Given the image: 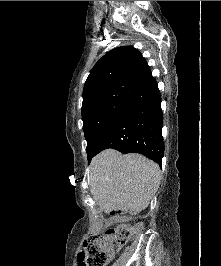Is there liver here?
Listing matches in <instances>:
<instances>
[{"label":"liver","mask_w":221,"mask_h":266,"mask_svg":"<svg viewBox=\"0 0 221 266\" xmlns=\"http://www.w3.org/2000/svg\"><path fill=\"white\" fill-rule=\"evenodd\" d=\"M160 173L159 166L142 155H122L107 149L90 164L93 199L106 213L118 210L139 213L157 192Z\"/></svg>","instance_id":"obj_1"}]
</instances>
